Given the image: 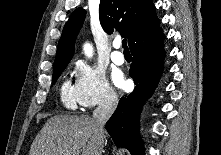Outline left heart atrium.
Here are the masks:
<instances>
[{
	"label": "left heart atrium",
	"mask_w": 221,
	"mask_h": 155,
	"mask_svg": "<svg viewBox=\"0 0 221 155\" xmlns=\"http://www.w3.org/2000/svg\"><path fill=\"white\" fill-rule=\"evenodd\" d=\"M113 81L116 84V86L123 88L125 86V80L123 78V76L119 73L115 74L113 76Z\"/></svg>",
	"instance_id": "obj_1"
}]
</instances>
